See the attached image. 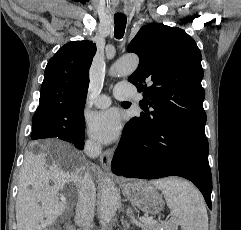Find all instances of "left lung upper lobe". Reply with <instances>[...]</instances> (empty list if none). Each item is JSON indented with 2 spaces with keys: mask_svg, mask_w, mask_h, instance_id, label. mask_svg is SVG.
I'll use <instances>...</instances> for the list:
<instances>
[{
  "mask_svg": "<svg viewBox=\"0 0 241 230\" xmlns=\"http://www.w3.org/2000/svg\"><path fill=\"white\" fill-rule=\"evenodd\" d=\"M127 51L140 59L128 80L143 91L145 112L135 118L145 129L169 121L205 126L201 53L193 38L183 29L153 23L139 30Z\"/></svg>",
  "mask_w": 241,
  "mask_h": 230,
  "instance_id": "obj_1",
  "label": "left lung upper lobe"
}]
</instances>
